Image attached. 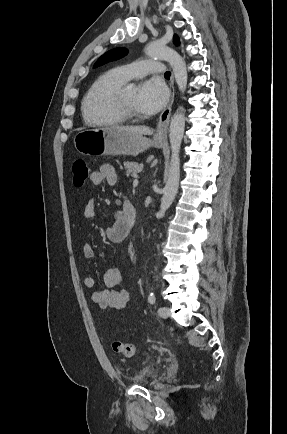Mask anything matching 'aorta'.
I'll return each instance as SVG.
<instances>
[{"label":"aorta","instance_id":"1","mask_svg":"<svg viewBox=\"0 0 287 434\" xmlns=\"http://www.w3.org/2000/svg\"><path fill=\"white\" fill-rule=\"evenodd\" d=\"M145 52L149 57L158 58L167 61L172 67L175 81L180 92L184 93L187 87V68L184 59L172 48L167 47L159 42H153L146 46ZM185 129V116L183 107H179L171 118L170 122V146L171 159L168 172V178L164 187V193L161 199L160 210L157 213L159 218L165 215V212L173 203L179 187L180 180V147Z\"/></svg>","mask_w":287,"mask_h":434}]
</instances>
